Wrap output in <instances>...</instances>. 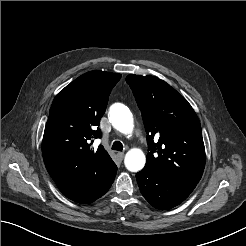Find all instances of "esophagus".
Instances as JSON below:
<instances>
[{
    "instance_id": "obj_1",
    "label": "esophagus",
    "mask_w": 246,
    "mask_h": 246,
    "mask_svg": "<svg viewBox=\"0 0 246 246\" xmlns=\"http://www.w3.org/2000/svg\"><path fill=\"white\" fill-rule=\"evenodd\" d=\"M117 156H118V158H119L120 160H122L123 157H124V152H118V153H117Z\"/></svg>"
}]
</instances>
